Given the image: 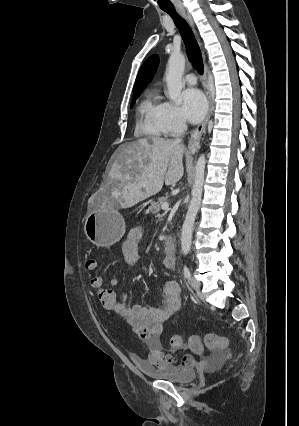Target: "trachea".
Instances as JSON below:
<instances>
[{"label": "trachea", "mask_w": 299, "mask_h": 426, "mask_svg": "<svg viewBox=\"0 0 299 426\" xmlns=\"http://www.w3.org/2000/svg\"><path fill=\"white\" fill-rule=\"evenodd\" d=\"M163 11L168 13L172 17L177 29L179 30V32L181 34V37H182L183 42L185 44L187 54H188L190 61L195 66L198 73L200 75H202L203 71H204L202 55H201L200 48L198 46V43L195 39V36H194L190 26L176 12L174 7L163 9Z\"/></svg>", "instance_id": "obj_1"}]
</instances>
